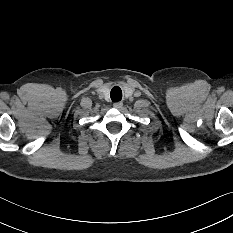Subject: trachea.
Returning <instances> with one entry per match:
<instances>
[{
	"label": "trachea",
	"instance_id": "1",
	"mask_svg": "<svg viewBox=\"0 0 233 233\" xmlns=\"http://www.w3.org/2000/svg\"><path fill=\"white\" fill-rule=\"evenodd\" d=\"M111 99L114 102L120 101L122 99L121 91H111Z\"/></svg>",
	"mask_w": 233,
	"mask_h": 233
}]
</instances>
